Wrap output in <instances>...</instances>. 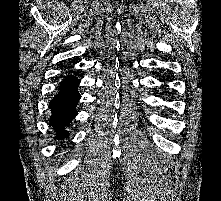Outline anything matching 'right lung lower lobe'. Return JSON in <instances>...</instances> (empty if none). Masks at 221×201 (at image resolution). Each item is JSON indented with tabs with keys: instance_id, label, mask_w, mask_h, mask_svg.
I'll return each instance as SVG.
<instances>
[{
	"instance_id": "right-lung-lower-lobe-1",
	"label": "right lung lower lobe",
	"mask_w": 221,
	"mask_h": 201,
	"mask_svg": "<svg viewBox=\"0 0 221 201\" xmlns=\"http://www.w3.org/2000/svg\"><path fill=\"white\" fill-rule=\"evenodd\" d=\"M80 80L72 75L63 79L59 86V92L50 102L52 115L50 124L56 130V137H66L67 133L63 127L68 126L77 115L76 104L80 99L77 91Z\"/></svg>"
}]
</instances>
